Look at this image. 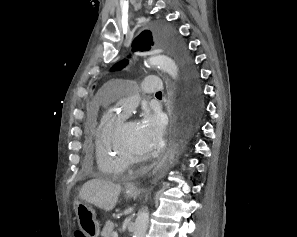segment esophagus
Here are the masks:
<instances>
[{
  "mask_svg": "<svg viewBox=\"0 0 297 237\" xmlns=\"http://www.w3.org/2000/svg\"><path fill=\"white\" fill-rule=\"evenodd\" d=\"M171 145V137L169 138V147ZM169 147L165 150L164 154L162 155L161 159L159 162L156 164V166L153 168L152 173L154 174L161 168V166L165 163L168 155H169ZM150 174V175H151ZM138 183L137 182H130L127 184L126 189L129 191H136L137 190Z\"/></svg>",
  "mask_w": 297,
  "mask_h": 237,
  "instance_id": "esophagus-1",
  "label": "esophagus"
}]
</instances>
